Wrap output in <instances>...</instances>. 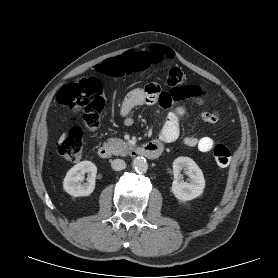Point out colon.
<instances>
[{
	"mask_svg": "<svg viewBox=\"0 0 278 278\" xmlns=\"http://www.w3.org/2000/svg\"><path fill=\"white\" fill-rule=\"evenodd\" d=\"M162 55L158 51L129 53L105 60L97 65L96 70L111 78H122L141 72L159 63ZM166 83L173 88L176 98H192L199 104L206 103V92L200 85L187 84L186 74L177 67L168 68ZM58 102L73 113L82 112V118L87 129L94 131L101 124L102 112L105 107L102 84L95 77L83 78L63 86L57 95ZM83 132L79 127H73L67 138L58 147V153L68 161L76 162L82 156ZM213 157L220 167H227L231 161L230 150L221 143H215Z\"/></svg>",
	"mask_w": 278,
	"mask_h": 278,
	"instance_id": "colon-1",
	"label": "colon"
}]
</instances>
